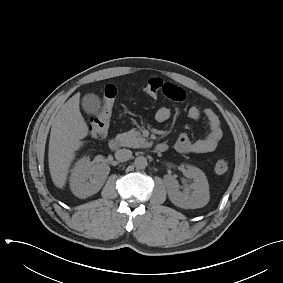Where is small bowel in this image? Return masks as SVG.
<instances>
[{"label": "small bowel", "instance_id": "1", "mask_svg": "<svg viewBox=\"0 0 283 283\" xmlns=\"http://www.w3.org/2000/svg\"><path fill=\"white\" fill-rule=\"evenodd\" d=\"M162 94L173 101H182L186 97L185 91L171 82H163ZM171 112L167 107L157 110L155 118L158 122H165L170 118ZM187 115L193 120L204 118L208 125V134L201 139L192 140L187 133H182L176 139L173 148L180 153L202 154L214 151L222 138L221 123L218 116L211 109L201 110L192 106L187 110Z\"/></svg>", "mask_w": 283, "mask_h": 283}]
</instances>
